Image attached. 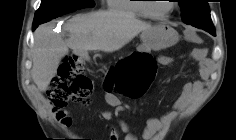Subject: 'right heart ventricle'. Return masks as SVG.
I'll return each mask as SVG.
<instances>
[{"instance_id":"obj_1","label":"right heart ventricle","mask_w":236,"mask_h":140,"mask_svg":"<svg viewBox=\"0 0 236 140\" xmlns=\"http://www.w3.org/2000/svg\"><path fill=\"white\" fill-rule=\"evenodd\" d=\"M141 0H109L108 6L112 11L127 13L134 16H147Z\"/></svg>"}]
</instances>
